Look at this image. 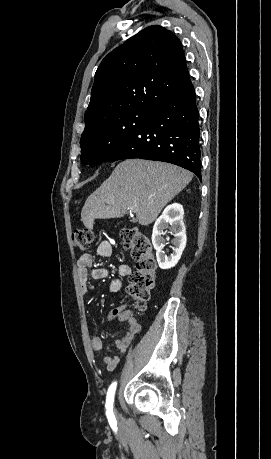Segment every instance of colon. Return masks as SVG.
<instances>
[{
	"label": "colon",
	"instance_id": "colon-1",
	"mask_svg": "<svg viewBox=\"0 0 271 459\" xmlns=\"http://www.w3.org/2000/svg\"><path fill=\"white\" fill-rule=\"evenodd\" d=\"M120 239L136 260V270L129 276L128 294L141 309L155 286L157 259L150 239L135 227L123 228ZM94 240L90 229L79 228L73 231L72 241L82 251L89 249Z\"/></svg>",
	"mask_w": 271,
	"mask_h": 459
}]
</instances>
